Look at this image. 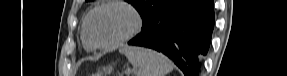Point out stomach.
<instances>
[{"instance_id": "0dacf381", "label": "stomach", "mask_w": 287, "mask_h": 76, "mask_svg": "<svg viewBox=\"0 0 287 76\" xmlns=\"http://www.w3.org/2000/svg\"><path fill=\"white\" fill-rule=\"evenodd\" d=\"M112 70H113V67L111 65H109L107 67H104V69H103V74H105L104 76L109 75L112 72ZM100 74H102V73H100ZM95 76H102V75L98 74V75H95Z\"/></svg>"}]
</instances>
